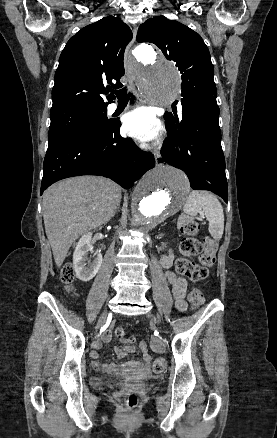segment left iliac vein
I'll return each instance as SVG.
<instances>
[{"label":"left iliac vein","instance_id":"1","mask_svg":"<svg viewBox=\"0 0 277 438\" xmlns=\"http://www.w3.org/2000/svg\"><path fill=\"white\" fill-rule=\"evenodd\" d=\"M148 317L152 320V321H156L155 317L152 314H148Z\"/></svg>","mask_w":277,"mask_h":438}]
</instances>
